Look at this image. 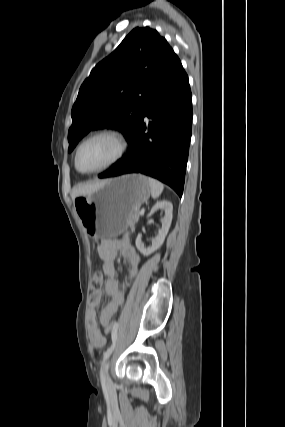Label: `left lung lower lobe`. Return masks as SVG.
<instances>
[{"mask_svg": "<svg viewBox=\"0 0 285 427\" xmlns=\"http://www.w3.org/2000/svg\"><path fill=\"white\" fill-rule=\"evenodd\" d=\"M150 121L144 123V117ZM192 129V95L183 66L172 51L151 87L144 110L127 140L129 150L99 178L142 173L181 197Z\"/></svg>", "mask_w": 285, "mask_h": 427, "instance_id": "left-lung-lower-lobe-1", "label": "left lung lower lobe"}]
</instances>
